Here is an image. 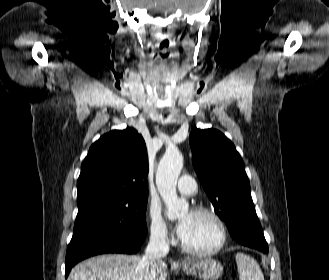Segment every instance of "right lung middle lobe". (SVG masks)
<instances>
[{
  "label": "right lung middle lobe",
  "mask_w": 329,
  "mask_h": 280,
  "mask_svg": "<svg viewBox=\"0 0 329 280\" xmlns=\"http://www.w3.org/2000/svg\"><path fill=\"white\" fill-rule=\"evenodd\" d=\"M147 199V196L77 199L79 210L68 248L98 235H109L130 242L143 241L147 234Z\"/></svg>",
  "instance_id": "1"
}]
</instances>
